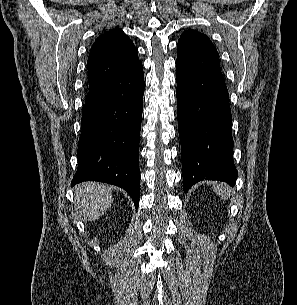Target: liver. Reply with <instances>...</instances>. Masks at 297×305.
<instances>
[{
	"instance_id": "obj_1",
	"label": "liver",
	"mask_w": 297,
	"mask_h": 305,
	"mask_svg": "<svg viewBox=\"0 0 297 305\" xmlns=\"http://www.w3.org/2000/svg\"><path fill=\"white\" fill-rule=\"evenodd\" d=\"M75 208L85 220L94 221L111 206L113 197L109 186L98 182L79 184L75 190Z\"/></svg>"
}]
</instances>
